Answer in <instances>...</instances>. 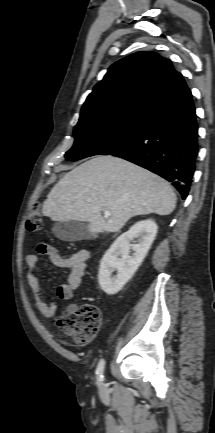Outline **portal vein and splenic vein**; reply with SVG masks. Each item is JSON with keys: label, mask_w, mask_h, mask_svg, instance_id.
Returning a JSON list of instances; mask_svg holds the SVG:
<instances>
[{"label": "portal vein and splenic vein", "mask_w": 215, "mask_h": 433, "mask_svg": "<svg viewBox=\"0 0 215 433\" xmlns=\"http://www.w3.org/2000/svg\"><path fill=\"white\" fill-rule=\"evenodd\" d=\"M111 213L109 211H104V217L109 218Z\"/></svg>", "instance_id": "1"}]
</instances>
